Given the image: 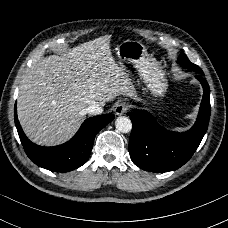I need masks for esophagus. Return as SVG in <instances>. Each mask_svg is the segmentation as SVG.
I'll list each match as a JSON object with an SVG mask.
<instances>
[{
  "label": "esophagus",
  "instance_id": "34e87169",
  "mask_svg": "<svg viewBox=\"0 0 228 228\" xmlns=\"http://www.w3.org/2000/svg\"><path fill=\"white\" fill-rule=\"evenodd\" d=\"M130 105L126 102H122L116 105L115 107V114L117 116H121L123 115L128 109H129Z\"/></svg>",
  "mask_w": 228,
  "mask_h": 228
}]
</instances>
